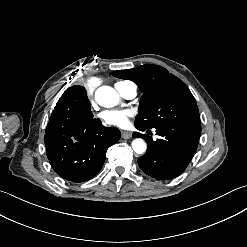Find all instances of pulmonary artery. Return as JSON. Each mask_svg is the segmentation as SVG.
Masks as SVG:
<instances>
[{
  "label": "pulmonary artery",
  "instance_id": "e3ab8cb5",
  "mask_svg": "<svg viewBox=\"0 0 247 247\" xmlns=\"http://www.w3.org/2000/svg\"><path fill=\"white\" fill-rule=\"evenodd\" d=\"M117 90L127 99H132L137 95V88L131 83L123 84L119 83L116 85Z\"/></svg>",
  "mask_w": 247,
  "mask_h": 247
}]
</instances>
